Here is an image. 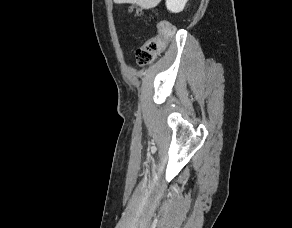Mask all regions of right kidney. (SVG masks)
Wrapping results in <instances>:
<instances>
[{
  "mask_svg": "<svg viewBox=\"0 0 292 228\" xmlns=\"http://www.w3.org/2000/svg\"><path fill=\"white\" fill-rule=\"evenodd\" d=\"M188 0H166V7L170 12H181Z\"/></svg>",
  "mask_w": 292,
  "mask_h": 228,
  "instance_id": "1",
  "label": "right kidney"
}]
</instances>
